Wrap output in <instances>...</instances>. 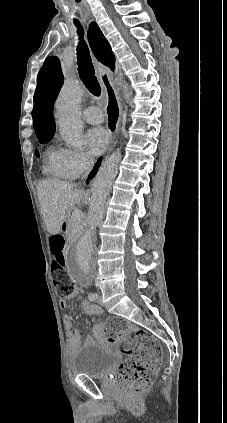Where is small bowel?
Masks as SVG:
<instances>
[{"instance_id": "obj_1", "label": "small bowel", "mask_w": 227, "mask_h": 423, "mask_svg": "<svg viewBox=\"0 0 227 423\" xmlns=\"http://www.w3.org/2000/svg\"><path fill=\"white\" fill-rule=\"evenodd\" d=\"M63 254L65 256L64 250H63ZM73 296H74V293L67 298H61L60 301H59L60 306L62 308H65L67 306V302H68L69 298H71ZM81 306L88 316H98L102 313V309H101L100 306L93 304V303H90L86 300L82 301ZM63 323H64L65 328L67 329V337H68L70 348L74 351V350L77 349V347L80 344V337H81L80 332L78 330H72V321H71V317L69 315H65L63 317ZM94 334L101 342L106 341L103 325H101V324L96 325L94 327ZM87 341L92 342L93 339L89 338V339H87Z\"/></svg>"}]
</instances>
